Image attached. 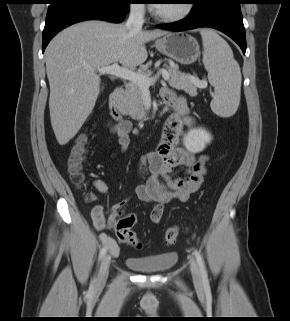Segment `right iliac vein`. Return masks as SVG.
I'll list each match as a JSON object with an SVG mask.
<instances>
[{"label":"right iliac vein","instance_id":"obj_1","mask_svg":"<svg viewBox=\"0 0 290 321\" xmlns=\"http://www.w3.org/2000/svg\"><path fill=\"white\" fill-rule=\"evenodd\" d=\"M110 261H111V255L106 254L103 257L100 268H99L97 281H96L97 287H102L106 283L107 278H108V273H109Z\"/></svg>","mask_w":290,"mask_h":321}]
</instances>
